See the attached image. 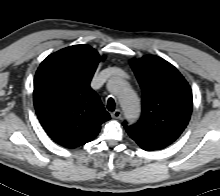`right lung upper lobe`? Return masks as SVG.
<instances>
[{"label": "right lung upper lobe", "instance_id": "cb5924a9", "mask_svg": "<svg viewBox=\"0 0 220 196\" xmlns=\"http://www.w3.org/2000/svg\"><path fill=\"white\" fill-rule=\"evenodd\" d=\"M104 57L89 45H74L49 55L34 79V105L47 134L59 145L76 148L92 141L110 119L90 87Z\"/></svg>", "mask_w": 220, "mask_h": 196}]
</instances>
